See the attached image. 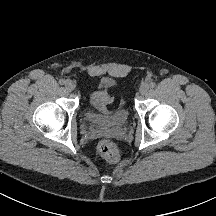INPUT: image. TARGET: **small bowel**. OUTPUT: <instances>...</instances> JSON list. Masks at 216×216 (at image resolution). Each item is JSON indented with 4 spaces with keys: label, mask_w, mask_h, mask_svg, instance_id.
Returning <instances> with one entry per match:
<instances>
[{
    "label": "small bowel",
    "mask_w": 216,
    "mask_h": 216,
    "mask_svg": "<svg viewBox=\"0 0 216 216\" xmlns=\"http://www.w3.org/2000/svg\"><path fill=\"white\" fill-rule=\"evenodd\" d=\"M92 100L96 109L106 112L108 104L111 102V96L106 89H100L93 93Z\"/></svg>",
    "instance_id": "c3829d8e"
}]
</instances>
